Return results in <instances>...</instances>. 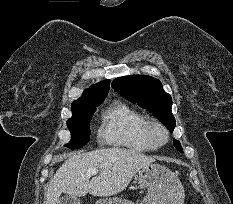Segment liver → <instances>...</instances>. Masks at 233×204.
I'll use <instances>...</instances> for the list:
<instances>
[{
    "label": "liver",
    "instance_id": "liver-1",
    "mask_svg": "<svg viewBox=\"0 0 233 204\" xmlns=\"http://www.w3.org/2000/svg\"><path fill=\"white\" fill-rule=\"evenodd\" d=\"M153 162V158L142 153L118 147L70 154L50 180L44 204H58L62 193L74 197L87 193L99 197L118 194L141 168ZM89 169L100 170L91 181Z\"/></svg>",
    "mask_w": 233,
    "mask_h": 204
}]
</instances>
